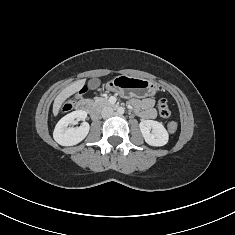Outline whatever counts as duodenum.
Returning a JSON list of instances; mask_svg holds the SVG:
<instances>
[{"instance_id":"410a0bca","label":"duodenum","mask_w":235,"mask_h":235,"mask_svg":"<svg viewBox=\"0 0 235 235\" xmlns=\"http://www.w3.org/2000/svg\"><path fill=\"white\" fill-rule=\"evenodd\" d=\"M77 110H78V111H83V112H89V113H91L93 116H96V115H97V112H96L95 109L93 108L91 101L88 100V99L81 100V101L77 104Z\"/></svg>"}]
</instances>
